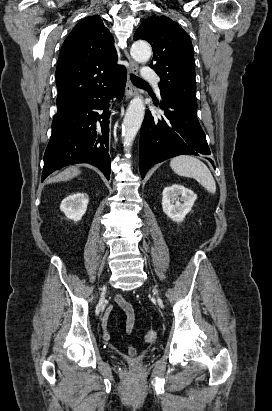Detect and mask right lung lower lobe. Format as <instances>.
<instances>
[{"instance_id": "right-lung-lower-lobe-1", "label": "right lung lower lobe", "mask_w": 272, "mask_h": 411, "mask_svg": "<svg viewBox=\"0 0 272 411\" xmlns=\"http://www.w3.org/2000/svg\"><path fill=\"white\" fill-rule=\"evenodd\" d=\"M126 69L89 94L57 108L52 135L44 154L42 181L61 167L89 163L110 178L109 101L123 97Z\"/></svg>"}]
</instances>
